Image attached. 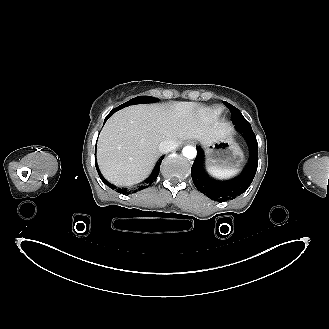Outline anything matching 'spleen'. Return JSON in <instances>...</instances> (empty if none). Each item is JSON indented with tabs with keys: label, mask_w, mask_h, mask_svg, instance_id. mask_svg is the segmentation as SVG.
Returning a JSON list of instances; mask_svg holds the SVG:
<instances>
[{
	"label": "spleen",
	"mask_w": 329,
	"mask_h": 329,
	"mask_svg": "<svg viewBox=\"0 0 329 329\" xmlns=\"http://www.w3.org/2000/svg\"><path fill=\"white\" fill-rule=\"evenodd\" d=\"M208 173L216 179H229L236 176L240 169L220 170L214 168H208Z\"/></svg>",
	"instance_id": "obj_1"
}]
</instances>
